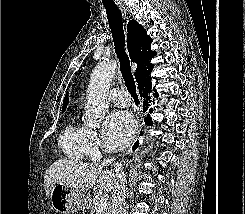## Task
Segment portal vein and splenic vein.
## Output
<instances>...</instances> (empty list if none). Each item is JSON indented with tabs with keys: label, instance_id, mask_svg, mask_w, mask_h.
Returning <instances> with one entry per match:
<instances>
[{
	"label": "portal vein and splenic vein",
	"instance_id": "18ae733b",
	"mask_svg": "<svg viewBox=\"0 0 245 214\" xmlns=\"http://www.w3.org/2000/svg\"><path fill=\"white\" fill-rule=\"evenodd\" d=\"M107 205H109V202L107 201V199L102 197L100 199V201H99V205L97 207V211H102Z\"/></svg>",
	"mask_w": 245,
	"mask_h": 214
}]
</instances>
